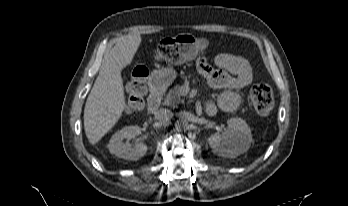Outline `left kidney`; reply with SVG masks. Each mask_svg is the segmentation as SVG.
<instances>
[{
  "mask_svg": "<svg viewBox=\"0 0 348 206\" xmlns=\"http://www.w3.org/2000/svg\"><path fill=\"white\" fill-rule=\"evenodd\" d=\"M228 130L223 135L214 133L208 138L212 151L221 157L235 158L251 146L252 134L247 123L241 118L227 121Z\"/></svg>",
  "mask_w": 348,
  "mask_h": 206,
  "instance_id": "5707ae66",
  "label": "left kidney"
}]
</instances>
